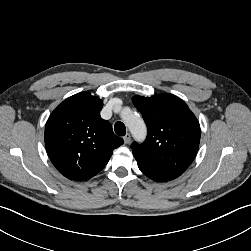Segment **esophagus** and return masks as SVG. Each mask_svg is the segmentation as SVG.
<instances>
[{
    "label": "esophagus",
    "instance_id": "esophagus-1",
    "mask_svg": "<svg viewBox=\"0 0 251 251\" xmlns=\"http://www.w3.org/2000/svg\"><path fill=\"white\" fill-rule=\"evenodd\" d=\"M131 141V135L129 133H127L125 136H124V142L125 144H129Z\"/></svg>",
    "mask_w": 251,
    "mask_h": 251
}]
</instances>
